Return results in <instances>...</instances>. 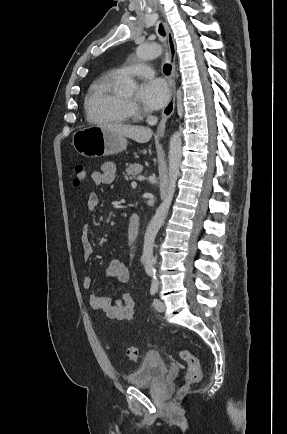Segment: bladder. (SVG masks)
<instances>
[{"instance_id": "1", "label": "bladder", "mask_w": 287, "mask_h": 434, "mask_svg": "<svg viewBox=\"0 0 287 434\" xmlns=\"http://www.w3.org/2000/svg\"><path fill=\"white\" fill-rule=\"evenodd\" d=\"M168 372L164 357L156 352H149L139 367L126 377V382L133 387H144L156 383Z\"/></svg>"}]
</instances>
